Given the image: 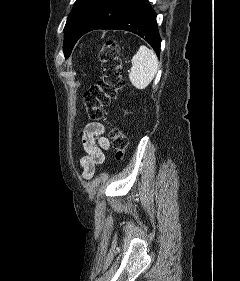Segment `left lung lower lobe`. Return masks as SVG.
Here are the masks:
<instances>
[{
  "label": "left lung lower lobe",
  "instance_id": "0a47b994",
  "mask_svg": "<svg viewBox=\"0 0 240 281\" xmlns=\"http://www.w3.org/2000/svg\"><path fill=\"white\" fill-rule=\"evenodd\" d=\"M95 29H122L145 39L160 55L156 13L148 0H103L83 26L78 39Z\"/></svg>",
  "mask_w": 240,
  "mask_h": 281
}]
</instances>
